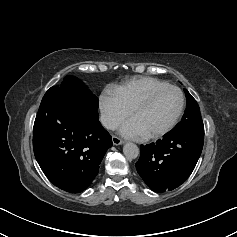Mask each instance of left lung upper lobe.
<instances>
[{
  "instance_id": "left-lung-upper-lobe-1",
  "label": "left lung upper lobe",
  "mask_w": 237,
  "mask_h": 237,
  "mask_svg": "<svg viewBox=\"0 0 237 237\" xmlns=\"http://www.w3.org/2000/svg\"><path fill=\"white\" fill-rule=\"evenodd\" d=\"M184 91L186 92L187 107L182 117V121L179 122L170 133H179L192 130L204 131L200 108L191 94L186 89H184Z\"/></svg>"
}]
</instances>
